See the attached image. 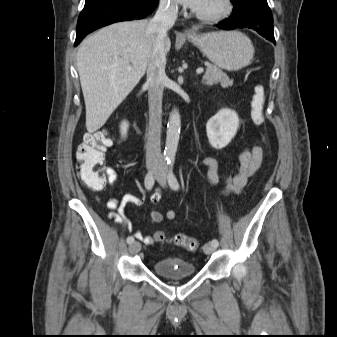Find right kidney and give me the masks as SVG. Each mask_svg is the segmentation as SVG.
Instances as JSON below:
<instances>
[{
	"label": "right kidney",
	"mask_w": 337,
	"mask_h": 337,
	"mask_svg": "<svg viewBox=\"0 0 337 337\" xmlns=\"http://www.w3.org/2000/svg\"><path fill=\"white\" fill-rule=\"evenodd\" d=\"M128 127H129L128 122L123 121V122L121 123L120 131H121V135H122V136H126V135H127Z\"/></svg>",
	"instance_id": "1"
}]
</instances>
